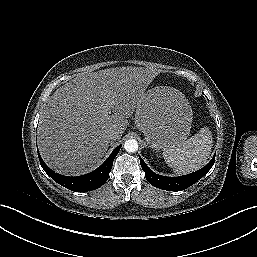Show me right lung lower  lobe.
I'll list each match as a JSON object with an SVG mask.
<instances>
[{
  "label": "right lung lower lobe",
  "instance_id": "right-lung-lower-lobe-1",
  "mask_svg": "<svg viewBox=\"0 0 257 257\" xmlns=\"http://www.w3.org/2000/svg\"><path fill=\"white\" fill-rule=\"evenodd\" d=\"M120 148L121 145L116 147L109 156V158L99 168L91 173L77 177H68L55 173L44 163L39 153L38 157L43 170L55 182L74 192H86L101 187L107 181L113 165L114 158L118 154Z\"/></svg>",
  "mask_w": 257,
  "mask_h": 257
}]
</instances>
